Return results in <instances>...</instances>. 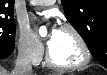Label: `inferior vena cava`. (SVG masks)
<instances>
[{
    "instance_id": "602c4592",
    "label": "inferior vena cava",
    "mask_w": 107,
    "mask_h": 75,
    "mask_svg": "<svg viewBox=\"0 0 107 75\" xmlns=\"http://www.w3.org/2000/svg\"><path fill=\"white\" fill-rule=\"evenodd\" d=\"M31 74H32V65L30 61L29 52L26 49H21L18 53L12 75H31Z\"/></svg>"
}]
</instances>
